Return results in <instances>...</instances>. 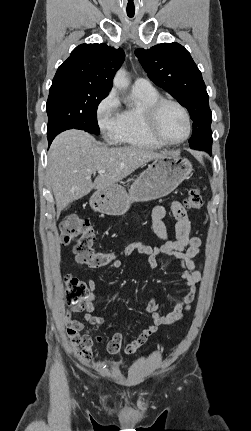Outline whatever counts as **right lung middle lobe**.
<instances>
[{"label": "right lung middle lobe", "instance_id": "obj_1", "mask_svg": "<svg viewBox=\"0 0 251 431\" xmlns=\"http://www.w3.org/2000/svg\"><path fill=\"white\" fill-rule=\"evenodd\" d=\"M108 94V90L72 80L53 81L47 101V135L73 128L99 135L97 107Z\"/></svg>", "mask_w": 251, "mask_h": 431}]
</instances>
